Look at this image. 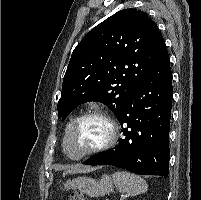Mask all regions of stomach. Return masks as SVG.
<instances>
[{"mask_svg": "<svg viewBox=\"0 0 201 200\" xmlns=\"http://www.w3.org/2000/svg\"><path fill=\"white\" fill-rule=\"evenodd\" d=\"M64 189H78L90 197H99L112 192L113 183L109 175H103L100 180H95L91 177H77L68 180L64 184Z\"/></svg>", "mask_w": 201, "mask_h": 200, "instance_id": "0dacf381", "label": "stomach"}]
</instances>
